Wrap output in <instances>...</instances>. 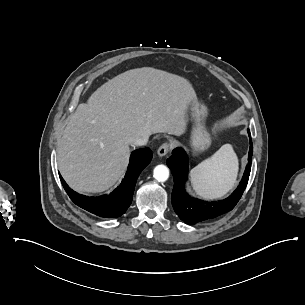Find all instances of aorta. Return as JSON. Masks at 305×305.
<instances>
[{
  "label": "aorta",
  "mask_w": 305,
  "mask_h": 305,
  "mask_svg": "<svg viewBox=\"0 0 305 305\" xmlns=\"http://www.w3.org/2000/svg\"><path fill=\"white\" fill-rule=\"evenodd\" d=\"M154 178L159 182H165L169 177V169L165 165H157L153 171Z\"/></svg>",
  "instance_id": "762f6f07"
}]
</instances>
